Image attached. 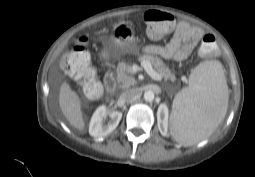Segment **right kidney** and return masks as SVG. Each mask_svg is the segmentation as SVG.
<instances>
[{
    "label": "right kidney",
    "mask_w": 255,
    "mask_h": 177,
    "mask_svg": "<svg viewBox=\"0 0 255 177\" xmlns=\"http://www.w3.org/2000/svg\"><path fill=\"white\" fill-rule=\"evenodd\" d=\"M107 110L104 105L98 107L93 113L89 124V134L94 138H102L113 132L118 126L122 113L119 111H113L109 114L110 120L107 124H104L103 119L107 116Z\"/></svg>",
    "instance_id": "right-kidney-1"
}]
</instances>
